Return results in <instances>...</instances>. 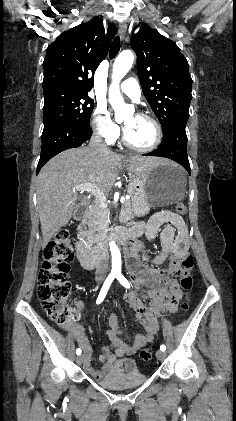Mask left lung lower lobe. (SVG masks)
<instances>
[{
	"mask_svg": "<svg viewBox=\"0 0 236 421\" xmlns=\"http://www.w3.org/2000/svg\"><path fill=\"white\" fill-rule=\"evenodd\" d=\"M186 121H177L164 133L163 141L153 152L145 156H159L172 159L181 164L190 174V164L187 155Z\"/></svg>",
	"mask_w": 236,
	"mask_h": 421,
	"instance_id": "left-lung-lower-lobe-1",
	"label": "left lung lower lobe"
}]
</instances>
